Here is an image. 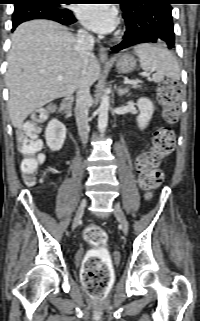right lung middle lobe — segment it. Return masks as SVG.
<instances>
[{
    "label": "right lung middle lobe",
    "mask_w": 200,
    "mask_h": 321,
    "mask_svg": "<svg viewBox=\"0 0 200 321\" xmlns=\"http://www.w3.org/2000/svg\"><path fill=\"white\" fill-rule=\"evenodd\" d=\"M42 1H45L48 4L60 9H66L61 4H68L69 2V0H42Z\"/></svg>",
    "instance_id": "dd1d6c3e"
}]
</instances>
